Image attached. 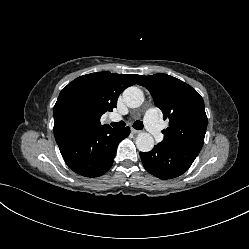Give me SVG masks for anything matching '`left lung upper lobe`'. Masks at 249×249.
Returning a JSON list of instances; mask_svg holds the SVG:
<instances>
[{"label":"left lung upper lobe","instance_id":"5c2ea615","mask_svg":"<svg viewBox=\"0 0 249 249\" xmlns=\"http://www.w3.org/2000/svg\"><path fill=\"white\" fill-rule=\"evenodd\" d=\"M139 85L150 91L163 119H169V127L163 130L164 140L159 144L200 152L207 128L202 97L190 85L167 74L149 75Z\"/></svg>","mask_w":249,"mask_h":249}]
</instances>
